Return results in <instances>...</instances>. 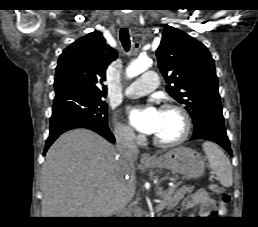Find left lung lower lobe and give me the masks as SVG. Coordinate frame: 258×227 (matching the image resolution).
<instances>
[{
  "mask_svg": "<svg viewBox=\"0 0 258 227\" xmlns=\"http://www.w3.org/2000/svg\"><path fill=\"white\" fill-rule=\"evenodd\" d=\"M196 139L213 141L219 144L232 156L229 139L226 134L224 122L222 121L214 120L207 122L200 130L194 132L190 140Z\"/></svg>",
  "mask_w": 258,
  "mask_h": 227,
  "instance_id": "left-lung-lower-lobe-1",
  "label": "left lung lower lobe"
}]
</instances>
